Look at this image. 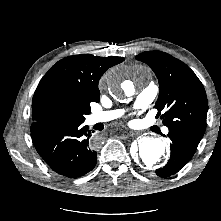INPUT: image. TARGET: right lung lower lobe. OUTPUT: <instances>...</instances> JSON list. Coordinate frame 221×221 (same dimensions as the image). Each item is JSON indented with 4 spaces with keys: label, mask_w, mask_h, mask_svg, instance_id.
I'll return each instance as SVG.
<instances>
[{
    "label": "right lung lower lobe",
    "mask_w": 221,
    "mask_h": 221,
    "mask_svg": "<svg viewBox=\"0 0 221 221\" xmlns=\"http://www.w3.org/2000/svg\"><path fill=\"white\" fill-rule=\"evenodd\" d=\"M84 121H44L31 125L33 143L43 160L60 175L76 178L91 171L97 152Z\"/></svg>",
    "instance_id": "98d812e1"
}]
</instances>
